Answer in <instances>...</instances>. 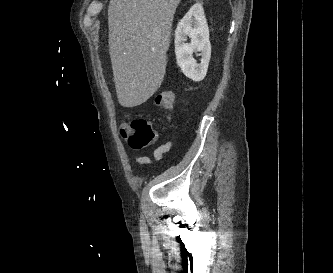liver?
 <instances>
[{
  "label": "liver",
  "instance_id": "6515ba94",
  "mask_svg": "<svg viewBox=\"0 0 333 273\" xmlns=\"http://www.w3.org/2000/svg\"><path fill=\"white\" fill-rule=\"evenodd\" d=\"M181 0H111L109 53L123 107L146 102L166 73L172 21Z\"/></svg>",
  "mask_w": 333,
  "mask_h": 273
}]
</instances>
